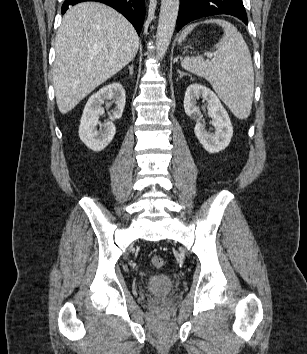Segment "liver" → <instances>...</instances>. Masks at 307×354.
I'll return each instance as SVG.
<instances>
[{
	"label": "liver",
	"instance_id": "liver-1",
	"mask_svg": "<svg viewBox=\"0 0 307 354\" xmlns=\"http://www.w3.org/2000/svg\"><path fill=\"white\" fill-rule=\"evenodd\" d=\"M132 24L111 7L94 2L70 7L55 38L53 85L59 111L66 114L114 76L138 51Z\"/></svg>",
	"mask_w": 307,
	"mask_h": 354
}]
</instances>
